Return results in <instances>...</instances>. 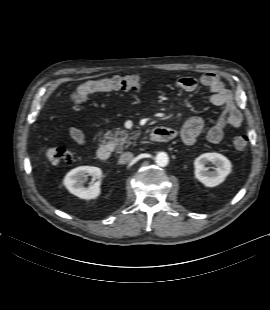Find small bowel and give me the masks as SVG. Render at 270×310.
Here are the masks:
<instances>
[{
  "instance_id": "small-bowel-1",
  "label": "small bowel",
  "mask_w": 270,
  "mask_h": 310,
  "mask_svg": "<svg viewBox=\"0 0 270 310\" xmlns=\"http://www.w3.org/2000/svg\"><path fill=\"white\" fill-rule=\"evenodd\" d=\"M176 86L185 92H194L199 86L209 89V101L211 104L223 107V112L217 122L207 131V140L210 143H219L225 134L227 126L238 128L241 126L242 114L236 106L233 93L221 81L214 72H207L199 79L191 76L181 77L176 80ZM204 128V121L199 117H193L186 121L180 130L182 140L187 145L194 144ZM70 138L79 145H85L87 138L84 132L77 127L68 129Z\"/></svg>"
}]
</instances>
